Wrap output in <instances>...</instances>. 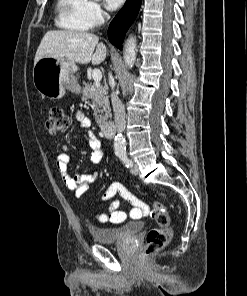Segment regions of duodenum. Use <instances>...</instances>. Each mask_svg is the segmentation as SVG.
Segmentation results:
<instances>
[{
  "mask_svg": "<svg viewBox=\"0 0 247 296\" xmlns=\"http://www.w3.org/2000/svg\"><path fill=\"white\" fill-rule=\"evenodd\" d=\"M100 127H101V131L102 133L108 137V138H111L114 136L115 134V124H114V121L111 120V119H106V120H103L100 124Z\"/></svg>",
  "mask_w": 247,
  "mask_h": 296,
  "instance_id": "410a0bca",
  "label": "duodenum"
}]
</instances>
